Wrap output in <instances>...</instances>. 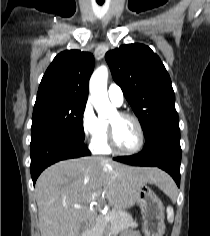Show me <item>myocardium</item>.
I'll list each match as a JSON object with an SVG mask.
<instances>
[{
  "mask_svg": "<svg viewBox=\"0 0 210 236\" xmlns=\"http://www.w3.org/2000/svg\"><path fill=\"white\" fill-rule=\"evenodd\" d=\"M117 114L120 117L132 119L135 122L137 129H138L139 140H138V144L136 145L135 148H133L131 150L121 149L117 145L116 140H115L114 127H113L112 123L108 122V143H109V146H110L111 150L116 154L134 155V154L138 153L143 148L144 143H145V132H144L143 125H142L140 119L135 114H132L130 112H119Z\"/></svg>",
  "mask_w": 210,
  "mask_h": 236,
  "instance_id": "1",
  "label": "myocardium"
}]
</instances>
